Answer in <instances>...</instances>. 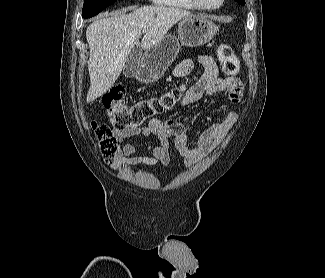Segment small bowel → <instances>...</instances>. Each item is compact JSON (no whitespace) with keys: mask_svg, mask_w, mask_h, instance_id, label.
<instances>
[{"mask_svg":"<svg viewBox=\"0 0 325 278\" xmlns=\"http://www.w3.org/2000/svg\"><path fill=\"white\" fill-rule=\"evenodd\" d=\"M198 63L203 67L204 72L199 81L186 92L180 101L181 108L199 101L205 94H228L231 102L240 101L243 84L238 78L219 77L217 65L209 55H201ZM193 68L194 61L185 59L174 68L173 74L176 77H183L188 75ZM237 119V113L229 111L221 122L206 128L195 143L190 142L184 126L174 119L153 118L146 126L124 130L114 129L113 137L119 143L134 136L154 135L158 139V145L154 146L138 147L132 143L123 144L114 153V167L138 164L167 167L172 140L176 149L184 157L185 165L191 168L201 155L211 151L214 141L223 136Z\"/></svg>","mask_w":325,"mask_h":278,"instance_id":"obj_1","label":"small bowel"}]
</instances>
